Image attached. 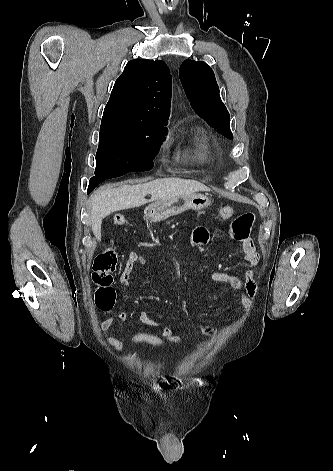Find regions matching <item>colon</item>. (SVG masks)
<instances>
[{"label": "colon", "mask_w": 333, "mask_h": 471, "mask_svg": "<svg viewBox=\"0 0 333 471\" xmlns=\"http://www.w3.org/2000/svg\"><path fill=\"white\" fill-rule=\"evenodd\" d=\"M218 214L221 218L228 219L233 216L234 209L230 206H223L218 209ZM114 224L124 226L126 218L118 214L114 217ZM117 260V251L113 245H110L96 256L93 263L92 279L96 286L95 303L103 311L110 310L114 304L113 273L116 269ZM130 341L135 345L154 347L163 346L167 342L162 335L147 331L134 333Z\"/></svg>", "instance_id": "1"}]
</instances>
